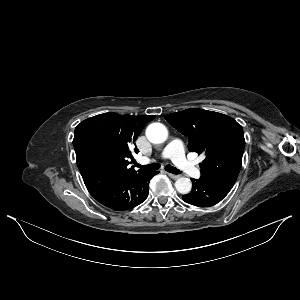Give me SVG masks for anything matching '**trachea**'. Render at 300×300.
<instances>
[{"mask_svg":"<svg viewBox=\"0 0 300 300\" xmlns=\"http://www.w3.org/2000/svg\"><path fill=\"white\" fill-rule=\"evenodd\" d=\"M135 166L138 168H141L143 170H146V171H155L160 168V165L158 163H152V164H148V165H141L139 163H135ZM165 170L172 174H180L181 173L180 170H178L177 168H175L169 164L165 166Z\"/></svg>","mask_w":300,"mask_h":300,"instance_id":"trachea-1","label":"trachea"}]
</instances>
